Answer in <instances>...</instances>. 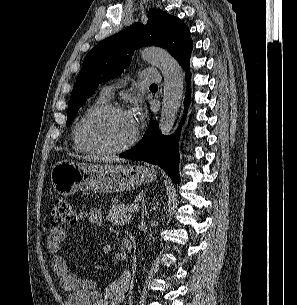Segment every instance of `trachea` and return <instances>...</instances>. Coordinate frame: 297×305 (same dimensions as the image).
I'll return each mask as SVG.
<instances>
[{
	"mask_svg": "<svg viewBox=\"0 0 297 305\" xmlns=\"http://www.w3.org/2000/svg\"><path fill=\"white\" fill-rule=\"evenodd\" d=\"M150 87H158L156 84H152Z\"/></svg>",
	"mask_w": 297,
	"mask_h": 305,
	"instance_id": "trachea-1",
	"label": "trachea"
}]
</instances>
